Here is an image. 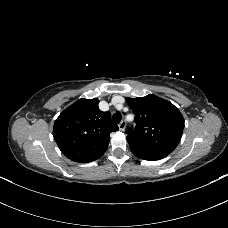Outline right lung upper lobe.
Instances as JSON below:
<instances>
[{
	"label": "right lung upper lobe",
	"mask_w": 228,
	"mask_h": 228,
	"mask_svg": "<svg viewBox=\"0 0 228 228\" xmlns=\"http://www.w3.org/2000/svg\"><path fill=\"white\" fill-rule=\"evenodd\" d=\"M99 100L81 98L56 119L53 136L61 152L83 163L105 153L110 133L118 130L110 112L98 107Z\"/></svg>",
	"instance_id": "right-lung-upper-lobe-1"
}]
</instances>
